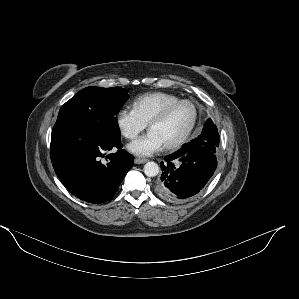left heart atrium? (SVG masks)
Instances as JSON below:
<instances>
[{"label": "left heart atrium", "instance_id": "39dd6f15", "mask_svg": "<svg viewBox=\"0 0 299 299\" xmlns=\"http://www.w3.org/2000/svg\"><path fill=\"white\" fill-rule=\"evenodd\" d=\"M163 147L161 140L151 131L128 145L130 152L140 156L152 155L162 150Z\"/></svg>", "mask_w": 299, "mask_h": 299}]
</instances>
